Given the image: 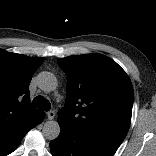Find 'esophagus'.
Masks as SVG:
<instances>
[{"instance_id":"obj_1","label":"esophagus","mask_w":156,"mask_h":156,"mask_svg":"<svg viewBox=\"0 0 156 156\" xmlns=\"http://www.w3.org/2000/svg\"><path fill=\"white\" fill-rule=\"evenodd\" d=\"M55 115H56V113L53 110H50V111L47 112V117H48L49 120L54 119Z\"/></svg>"}]
</instances>
